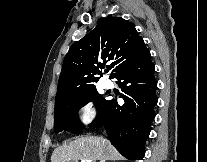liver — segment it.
<instances>
[{"mask_svg": "<svg viewBox=\"0 0 207 162\" xmlns=\"http://www.w3.org/2000/svg\"><path fill=\"white\" fill-rule=\"evenodd\" d=\"M120 159L121 155L110 141L101 136L79 137L56 148L51 156V162H78L79 160L105 162Z\"/></svg>", "mask_w": 207, "mask_h": 162, "instance_id": "1", "label": "liver"}]
</instances>
